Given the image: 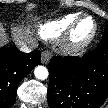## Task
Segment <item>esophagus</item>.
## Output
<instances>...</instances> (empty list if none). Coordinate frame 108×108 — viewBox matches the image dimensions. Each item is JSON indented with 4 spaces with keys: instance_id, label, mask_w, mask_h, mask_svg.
<instances>
[{
    "instance_id": "34e87169",
    "label": "esophagus",
    "mask_w": 108,
    "mask_h": 108,
    "mask_svg": "<svg viewBox=\"0 0 108 108\" xmlns=\"http://www.w3.org/2000/svg\"><path fill=\"white\" fill-rule=\"evenodd\" d=\"M52 57V54L51 52L49 51H43L42 54H41V61L43 64H48L50 59Z\"/></svg>"
}]
</instances>
